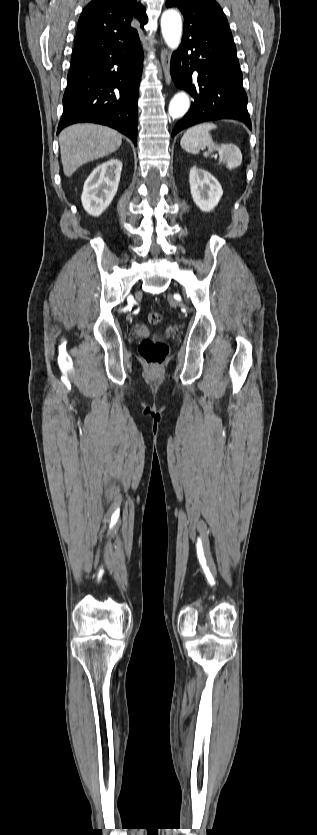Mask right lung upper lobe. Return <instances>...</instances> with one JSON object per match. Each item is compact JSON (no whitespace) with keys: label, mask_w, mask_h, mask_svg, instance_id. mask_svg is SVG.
I'll list each match as a JSON object with an SVG mask.
<instances>
[{"label":"right lung upper lobe","mask_w":317,"mask_h":835,"mask_svg":"<svg viewBox=\"0 0 317 835\" xmlns=\"http://www.w3.org/2000/svg\"><path fill=\"white\" fill-rule=\"evenodd\" d=\"M137 0H93L82 11L74 51L101 48L113 50L139 38L148 18Z\"/></svg>","instance_id":"cb5924a9"}]
</instances>
